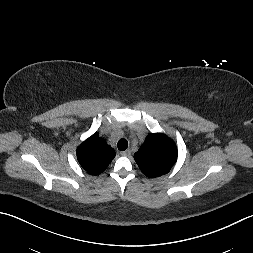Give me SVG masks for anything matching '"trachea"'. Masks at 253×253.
I'll list each match as a JSON object with an SVG mask.
<instances>
[{
    "instance_id": "3493384b",
    "label": "trachea",
    "mask_w": 253,
    "mask_h": 253,
    "mask_svg": "<svg viewBox=\"0 0 253 253\" xmlns=\"http://www.w3.org/2000/svg\"><path fill=\"white\" fill-rule=\"evenodd\" d=\"M117 147L120 151H125L128 147V141L124 138L120 139L117 143Z\"/></svg>"
}]
</instances>
